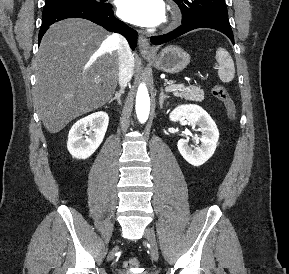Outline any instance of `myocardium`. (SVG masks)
<instances>
[{
	"instance_id": "1",
	"label": "myocardium",
	"mask_w": 289,
	"mask_h": 274,
	"mask_svg": "<svg viewBox=\"0 0 289 274\" xmlns=\"http://www.w3.org/2000/svg\"><path fill=\"white\" fill-rule=\"evenodd\" d=\"M175 23H176V15L172 14L168 19L167 25L170 27L173 26Z\"/></svg>"
}]
</instances>
